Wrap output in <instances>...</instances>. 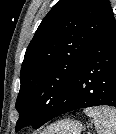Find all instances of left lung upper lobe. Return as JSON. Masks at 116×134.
Returning a JSON list of instances; mask_svg holds the SVG:
<instances>
[{
	"label": "left lung upper lobe",
	"instance_id": "obj_1",
	"mask_svg": "<svg viewBox=\"0 0 116 134\" xmlns=\"http://www.w3.org/2000/svg\"><path fill=\"white\" fill-rule=\"evenodd\" d=\"M111 13L109 0H60L48 12L21 67L16 131L41 127L71 97L81 64Z\"/></svg>",
	"mask_w": 116,
	"mask_h": 134
}]
</instances>
